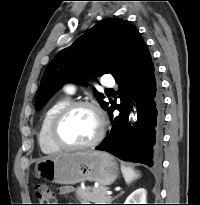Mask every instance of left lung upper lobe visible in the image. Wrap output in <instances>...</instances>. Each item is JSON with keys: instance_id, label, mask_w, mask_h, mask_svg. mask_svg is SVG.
Here are the masks:
<instances>
[{"instance_id": "left-lung-upper-lobe-1", "label": "left lung upper lobe", "mask_w": 200, "mask_h": 205, "mask_svg": "<svg viewBox=\"0 0 200 205\" xmlns=\"http://www.w3.org/2000/svg\"><path fill=\"white\" fill-rule=\"evenodd\" d=\"M137 32L127 21L108 18L60 51L44 72L35 103L36 110L42 108L66 82L76 81L84 74H113ZM104 97L102 93H96L97 100L107 110L109 103L103 100Z\"/></svg>"}]
</instances>
